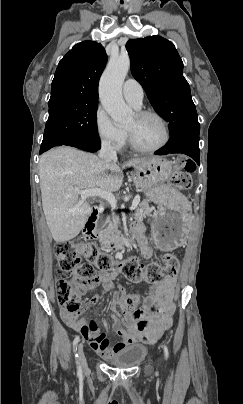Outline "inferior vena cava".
Here are the masks:
<instances>
[{"label":"inferior vena cava","mask_w":243,"mask_h":404,"mask_svg":"<svg viewBox=\"0 0 243 404\" xmlns=\"http://www.w3.org/2000/svg\"><path fill=\"white\" fill-rule=\"evenodd\" d=\"M99 158H101L103 162H112V160H117V154L114 148H112L111 142L103 140L101 150L99 152Z\"/></svg>","instance_id":"602c4592"}]
</instances>
